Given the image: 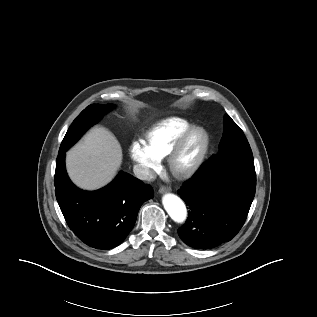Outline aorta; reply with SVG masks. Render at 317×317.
<instances>
[{"label": "aorta", "mask_w": 317, "mask_h": 317, "mask_svg": "<svg viewBox=\"0 0 317 317\" xmlns=\"http://www.w3.org/2000/svg\"><path fill=\"white\" fill-rule=\"evenodd\" d=\"M163 206L176 223H184L187 218V209L184 202L176 195L168 193L162 199Z\"/></svg>", "instance_id": "obj_1"}]
</instances>
